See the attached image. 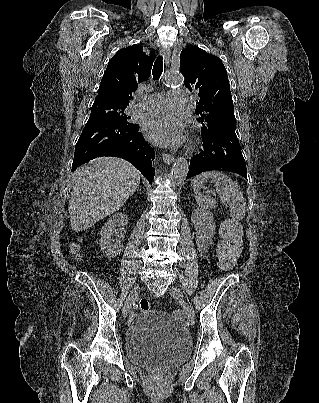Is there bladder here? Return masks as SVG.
I'll return each instance as SVG.
<instances>
[{
    "label": "bladder",
    "mask_w": 319,
    "mask_h": 403,
    "mask_svg": "<svg viewBox=\"0 0 319 403\" xmlns=\"http://www.w3.org/2000/svg\"><path fill=\"white\" fill-rule=\"evenodd\" d=\"M191 338L180 324L162 311H147L134 318L125 332L127 358L149 370H164L186 360Z\"/></svg>",
    "instance_id": "1"
}]
</instances>
